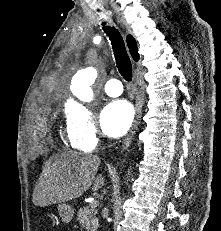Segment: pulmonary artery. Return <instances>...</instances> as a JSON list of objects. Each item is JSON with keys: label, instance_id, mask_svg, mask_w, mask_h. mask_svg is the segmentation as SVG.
<instances>
[{"label": "pulmonary artery", "instance_id": "pulmonary-artery-1", "mask_svg": "<svg viewBox=\"0 0 221 231\" xmlns=\"http://www.w3.org/2000/svg\"><path fill=\"white\" fill-rule=\"evenodd\" d=\"M104 90L111 97H118L123 92L122 84L117 79H110L104 85Z\"/></svg>", "mask_w": 221, "mask_h": 231}]
</instances>
